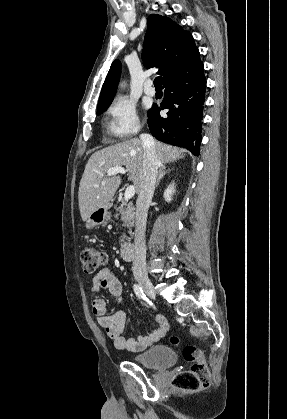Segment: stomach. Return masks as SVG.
I'll return each mask as SVG.
<instances>
[{
  "mask_svg": "<svg viewBox=\"0 0 287 419\" xmlns=\"http://www.w3.org/2000/svg\"><path fill=\"white\" fill-rule=\"evenodd\" d=\"M109 208H110V204H108L106 207L95 210L86 220V223H85L86 228L90 230V229L96 228L97 226L101 224H104L109 218V212H108Z\"/></svg>",
  "mask_w": 287,
  "mask_h": 419,
  "instance_id": "obj_1",
  "label": "stomach"
}]
</instances>
